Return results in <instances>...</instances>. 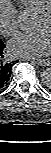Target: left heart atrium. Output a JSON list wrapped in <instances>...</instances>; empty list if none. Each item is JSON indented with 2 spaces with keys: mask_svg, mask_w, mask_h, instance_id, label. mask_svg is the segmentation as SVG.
<instances>
[{
  "mask_svg": "<svg viewBox=\"0 0 51 153\" xmlns=\"http://www.w3.org/2000/svg\"><path fill=\"white\" fill-rule=\"evenodd\" d=\"M8 46L10 51L18 56L43 57L48 55L51 50V35L45 29L19 34L9 42Z\"/></svg>",
  "mask_w": 51,
  "mask_h": 153,
  "instance_id": "obj_1",
  "label": "left heart atrium"
}]
</instances>
